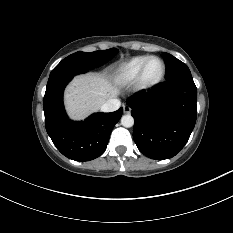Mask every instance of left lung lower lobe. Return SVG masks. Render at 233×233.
Here are the masks:
<instances>
[{"mask_svg":"<svg viewBox=\"0 0 233 233\" xmlns=\"http://www.w3.org/2000/svg\"><path fill=\"white\" fill-rule=\"evenodd\" d=\"M193 79H174L127 100L134 117L133 138L147 157L175 156L187 143L197 117Z\"/></svg>","mask_w":233,"mask_h":233,"instance_id":"0a47b994","label":"left lung lower lobe"}]
</instances>
